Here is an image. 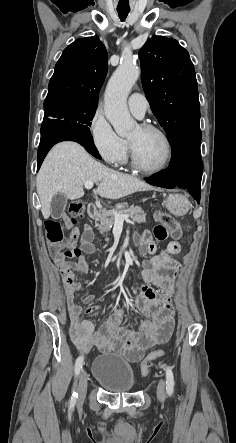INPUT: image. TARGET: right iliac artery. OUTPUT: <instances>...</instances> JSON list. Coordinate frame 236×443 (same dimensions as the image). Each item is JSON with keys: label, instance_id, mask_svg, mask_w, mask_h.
I'll return each instance as SVG.
<instances>
[{"label": "right iliac artery", "instance_id": "right-iliac-artery-1", "mask_svg": "<svg viewBox=\"0 0 236 443\" xmlns=\"http://www.w3.org/2000/svg\"><path fill=\"white\" fill-rule=\"evenodd\" d=\"M83 367V356H80L77 358L75 363V375L76 377L79 375L81 369ZM78 398V393L76 391H73L71 399H70V405L74 406L76 403V400Z\"/></svg>", "mask_w": 236, "mask_h": 443}]
</instances>
